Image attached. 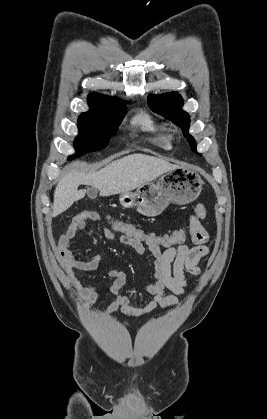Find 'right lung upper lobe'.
Wrapping results in <instances>:
<instances>
[{
	"instance_id": "1",
	"label": "right lung upper lobe",
	"mask_w": 267,
	"mask_h": 419,
	"mask_svg": "<svg viewBox=\"0 0 267 419\" xmlns=\"http://www.w3.org/2000/svg\"><path fill=\"white\" fill-rule=\"evenodd\" d=\"M109 99H112V98L101 95V94H97V93H91V94L88 95L89 105L94 104V103H98V102H101V101L109 100Z\"/></svg>"
}]
</instances>
